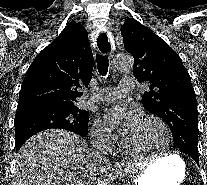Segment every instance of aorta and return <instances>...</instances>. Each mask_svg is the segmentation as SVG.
<instances>
[{
  "label": "aorta",
  "instance_id": "1",
  "mask_svg": "<svg viewBox=\"0 0 207 185\" xmlns=\"http://www.w3.org/2000/svg\"><path fill=\"white\" fill-rule=\"evenodd\" d=\"M134 59L129 54H118L114 57L112 67L118 72H128L133 68Z\"/></svg>",
  "mask_w": 207,
  "mask_h": 185
}]
</instances>
